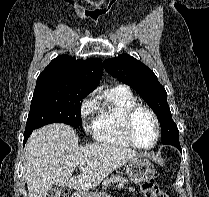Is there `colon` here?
Here are the masks:
<instances>
[{
  "label": "colon",
  "instance_id": "obj_1",
  "mask_svg": "<svg viewBox=\"0 0 209 197\" xmlns=\"http://www.w3.org/2000/svg\"><path fill=\"white\" fill-rule=\"evenodd\" d=\"M142 193L144 197H168L164 192L159 189L154 179L142 185ZM58 197H71V195L68 191H61Z\"/></svg>",
  "mask_w": 209,
  "mask_h": 197
}]
</instances>
